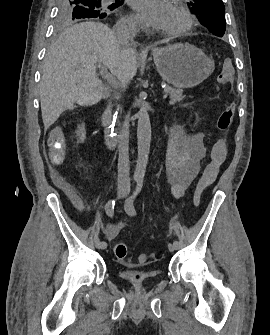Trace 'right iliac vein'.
<instances>
[{
  "label": "right iliac vein",
  "mask_w": 270,
  "mask_h": 335,
  "mask_svg": "<svg viewBox=\"0 0 270 335\" xmlns=\"http://www.w3.org/2000/svg\"><path fill=\"white\" fill-rule=\"evenodd\" d=\"M125 193H126V188H125V186H124V185H119V186H118V196H119V197H124ZM100 243H101L100 239L97 238V239L95 240V247H96L97 249H100Z\"/></svg>",
  "instance_id": "right-iliac-vein-1"
}]
</instances>
